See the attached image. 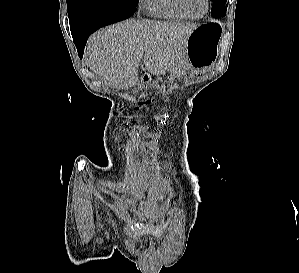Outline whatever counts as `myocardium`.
Instances as JSON below:
<instances>
[{"label":"myocardium","mask_w":299,"mask_h":273,"mask_svg":"<svg viewBox=\"0 0 299 273\" xmlns=\"http://www.w3.org/2000/svg\"><path fill=\"white\" fill-rule=\"evenodd\" d=\"M177 2H178V5H179L180 9L185 13V15L188 18L193 19V20H198V19L203 18L207 14V12L209 10V5H210V1L209 0H205V9H204V12L201 15H199V16H193V15H191L188 12V10H187V8L185 6L184 0H177Z\"/></svg>","instance_id":"1"}]
</instances>
